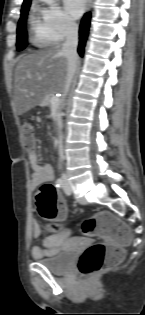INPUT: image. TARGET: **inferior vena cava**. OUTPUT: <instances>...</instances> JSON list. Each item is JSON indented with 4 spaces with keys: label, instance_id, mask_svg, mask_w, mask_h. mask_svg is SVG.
<instances>
[{
    "label": "inferior vena cava",
    "instance_id": "obj_1",
    "mask_svg": "<svg viewBox=\"0 0 145 315\" xmlns=\"http://www.w3.org/2000/svg\"><path fill=\"white\" fill-rule=\"evenodd\" d=\"M77 45H78V25L76 23L69 22L66 26V40L62 45L61 53L67 59V74H66V83L64 87V96L67 95L70 89V85L75 74L77 65H78V55H77ZM60 129L62 124H59ZM59 156L60 159H64L63 153V141L62 136L59 137ZM62 177L65 178L66 175L63 173Z\"/></svg>",
    "mask_w": 145,
    "mask_h": 315
}]
</instances>
